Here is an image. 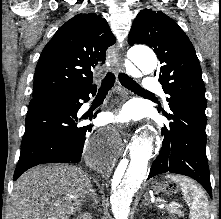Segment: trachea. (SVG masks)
I'll return each mask as SVG.
<instances>
[{"label": "trachea", "instance_id": "trachea-1", "mask_svg": "<svg viewBox=\"0 0 221 219\" xmlns=\"http://www.w3.org/2000/svg\"><path fill=\"white\" fill-rule=\"evenodd\" d=\"M119 81L125 88L131 90L134 93L149 95L146 90H144L139 84H137L132 78H130L125 73L119 74ZM114 82H115V76L113 73L109 72L106 75V77L103 79L99 91L108 92L113 87Z\"/></svg>", "mask_w": 221, "mask_h": 219}]
</instances>
